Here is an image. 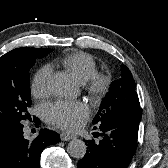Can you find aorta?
<instances>
[{
  "label": "aorta",
  "instance_id": "1",
  "mask_svg": "<svg viewBox=\"0 0 168 168\" xmlns=\"http://www.w3.org/2000/svg\"><path fill=\"white\" fill-rule=\"evenodd\" d=\"M49 89L53 95L60 98H68L74 94L76 85L74 80L66 73H56L49 81ZM87 146L84 141L73 139L67 147L69 155L76 159H81L85 156Z\"/></svg>",
  "mask_w": 168,
  "mask_h": 168
}]
</instances>
